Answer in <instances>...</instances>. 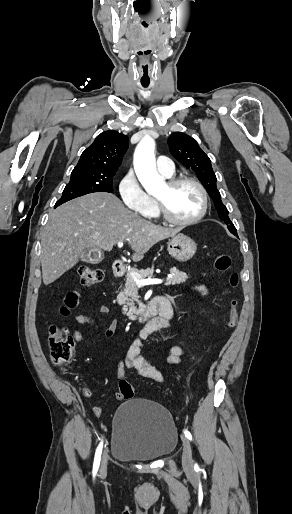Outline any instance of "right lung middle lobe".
<instances>
[{
	"label": "right lung middle lobe",
	"mask_w": 292,
	"mask_h": 514,
	"mask_svg": "<svg viewBox=\"0 0 292 514\" xmlns=\"http://www.w3.org/2000/svg\"><path fill=\"white\" fill-rule=\"evenodd\" d=\"M113 176L71 174L70 182L63 190L55 207L79 196L93 192H113Z\"/></svg>",
	"instance_id": "1"
}]
</instances>
